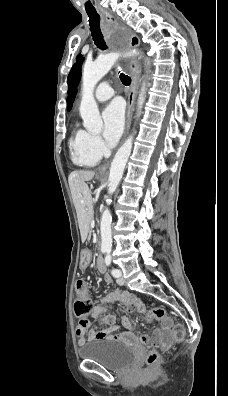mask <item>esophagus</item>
<instances>
[{
    "label": "esophagus",
    "instance_id": "esophagus-1",
    "mask_svg": "<svg viewBox=\"0 0 228 396\" xmlns=\"http://www.w3.org/2000/svg\"><path fill=\"white\" fill-rule=\"evenodd\" d=\"M98 11L106 23V25L103 27V33L106 36L108 33V25L115 23L116 19L112 15V13L107 9L101 8ZM139 45H140V39L136 35H133L131 37V46L134 48H138ZM129 67H130L132 83L128 93V106H127L126 129L124 133V139L127 136L131 126L133 111L135 108V100H136L139 83H140V76H141V65L138 59H132L129 62ZM108 167H109V163L104 164L99 168V173L106 172Z\"/></svg>",
    "mask_w": 228,
    "mask_h": 396
}]
</instances>
